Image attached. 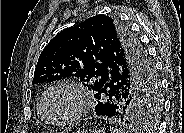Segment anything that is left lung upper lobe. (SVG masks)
Listing matches in <instances>:
<instances>
[{
  "instance_id": "left-lung-upper-lobe-1",
  "label": "left lung upper lobe",
  "mask_w": 184,
  "mask_h": 133,
  "mask_svg": "<svg viewBox=\"0 0 184 133\" xmlns=\"http://www.w3.org/2000/svg\"><path fill=\"white\" fill-rule=\"evenodd\" d=\"M110 60L118 62L127 78L117 118L133 125L154 120L160 110V85L153 62L117 17L96 15L59 32L41 52L32 84L75 76L96 93L107 81Z\"/></svg>"
}]
</instances>
